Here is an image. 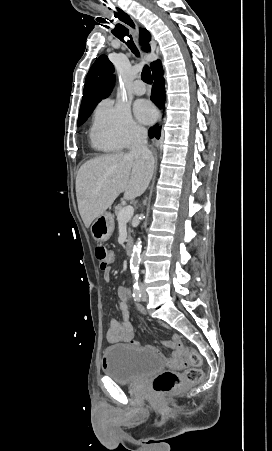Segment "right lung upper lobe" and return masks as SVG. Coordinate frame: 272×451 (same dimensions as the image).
<instances>
[{
	"label": "right lung upper lobe",
	"mask_w": 272,
	"mask_h": 451,
	"mask_svg": "<svg viewBox=\"0 0 272 451\" xmlns=\"http://www.w3.org/2000/svg\"><path fill=\"white\" fill-rule=\"evenodd\" d=\"M140 38L143 49H150V33L146 29H140ZM160 61L151 63V70ZM114 67L106 55H101L90 68L84 85L83 98L80 109L94 108L98 102L108 97L112 89L114 79Z\"/></svg>",
	"instance_id": "1"
}]
</instances>
